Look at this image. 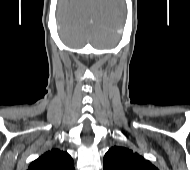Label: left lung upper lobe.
<instances>
[{
  "label": "left lung upper lobe",
  "mask_w": 190,
  "mask_h": 170,
  "mask_svg": "<svg viewBox=\"0 0 190 170\" xmlns=\"http://www.w3.org/2000/svg\"><path fill=\"white\" fill-rule=\"evenodd\" d=\"M104 170H158L150 161L132 150L114 146L103 159Z\"/></svg>",
  "instance_id": "1"
}]
</instances>
